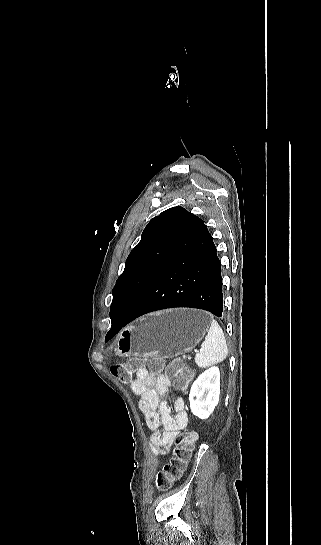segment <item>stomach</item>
<instances>
[{
  "mask_svg": "<svg viewBox=\"0 0 321 545\" xmlns=\"http://www.w3.org/2000/svg\"><path fill=\"white\" fill-rule=\"evenodd\" d=\"M209 329V317L198 309H167L136 319L118 335L117 357H163L190 353Z\"/></svg>",
  "mask_w": 321,
  "mask_h": 545,
  "instance_id": "obj_1",
  "label": "stomach"
}]
</instances>
